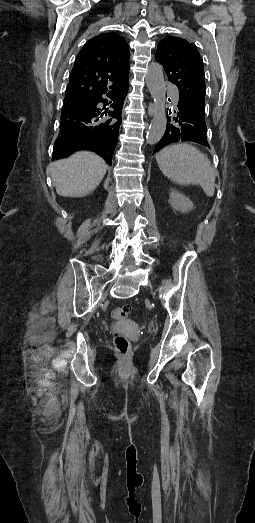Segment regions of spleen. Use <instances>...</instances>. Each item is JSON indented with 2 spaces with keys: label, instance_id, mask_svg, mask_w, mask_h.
Masks as SVG:
<instances>
[{
  "label": "spleen",
  "instance_id": "3e777b00",
  "mask_svg": "<svg viewBox=\"0 0 255 523\" xmlns=\"http://www.w3.org/2000/svg\"><path fill=\"white\" fill-rule=\"evenodd\" d=\"M157 164L164 176L180 186L200 184L206 196H214L215 176L211 164L202 152L189 144L168 146L156 154Z\"/></svg>",
  "mask_w": 255,
  "mask_h": 523
}]
</instances>
